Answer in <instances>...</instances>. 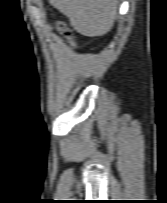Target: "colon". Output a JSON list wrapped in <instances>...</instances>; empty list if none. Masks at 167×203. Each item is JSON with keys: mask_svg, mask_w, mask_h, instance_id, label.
I'll return each instance as SVG.
<instances>
[{"mask_svg": "<svg viewBox=\"0 0 167 203\" xmlns=\"http://www.w3.org/2000/svg\"><path fill=\"white\" fill-rule=\"evenodd\" d=\"M57 27L61 35L69 41L74 49L78 50V41L70 27L63 21H58Z\"/></svg>", "mask_w": 167, "mask_h": 203, "instance_id": "colon-1", "label": "colon"}]
</instances>
